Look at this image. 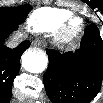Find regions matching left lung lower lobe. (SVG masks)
Returning <instances> with one entry per match:
<instances>
[{"instance_id": "left-lung-lower-lobe-1", "label": "left lung lower lobe", "mask_w": 103, "mask_h": 103, "mask_svg": "<svg viewBox=\"0 0 103 103\" xmlns=\"http://www.w3.org/2000/svg\"><path fill=\"white\" fill-rule=\"evenodd\" d=\"M49 66L43 82L53 103H89L103 82V41L91 24L85 30L80 48L64 54L48 49Z\"/></svg>"}]
</instances>
